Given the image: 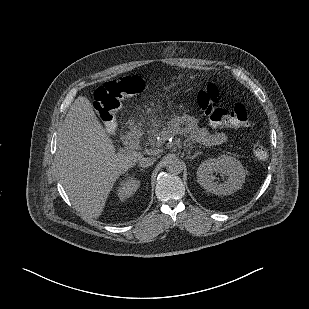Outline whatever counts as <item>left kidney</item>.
<instances>
[{
  "instance_id": "obj_1",
  "label": "left kidney",
  "mask_w": 309,
  "mask_h": 309,
  "mask_svg": "<svg viewBox=\"0 0 309 309\" xmlns=\"http://www.w3.org/2000/svg\"><path fill=\"white\" fill-rule=\"evenodd\" d=\"M214 174L226 177L223 183L214 180ZM245 170L242 163L231 156L220 155L202 162L197 170V182L207 192L216 195H230L241 189L245 182Z\"/></svg>"
}]
</instances>
